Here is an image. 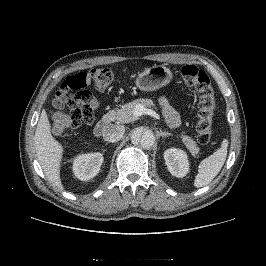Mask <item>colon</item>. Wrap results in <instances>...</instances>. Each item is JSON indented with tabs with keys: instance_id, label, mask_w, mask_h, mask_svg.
<instances>
[{
	"instance_id": "obj_1",
	"label": "colon",
	"mask_w": 266,
	"mask_h": 266,
	"mask_svg": "<svg viewBox=\"0 0 266 266\" xmlns=\"http://www.w3.org/2000/svg\"><path fill=\"white\" fill-rule=\"evenodd\" d=\"M183 83L194 88L199 94V119L196 124L197 139L201 144L212 141L213 121L217 108L216 94L212 81L206 72L194 65H186L180 70ZM116 75L109 68H94L66 78L56 93L54 104L57 108L67 106L68 111H56L52 131L62 134L67 128L91 125L99 107L98 99L87 89L92 82L98 89H108L115 82Z\"/></svg>"
}]
</instances>
